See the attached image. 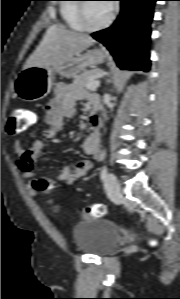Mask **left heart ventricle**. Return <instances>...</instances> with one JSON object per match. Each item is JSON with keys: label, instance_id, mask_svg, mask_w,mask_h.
I'll use <instances>...</instances> for the list:
<instances>
[{"label": "left heart ventricle", "instance_id": "1", "mask_svg": "<svg viewBox=\"0 0 180 299\" xmlns=\"http://www.w3.org/2000/svg\"><path fill=\"white\" fill-rule=\"evenodd\" d=\"M111 6L107 3H87L86 16L89 25L96 26L104 22L110 14Z\"/></svg>", "mask_w": 180, "mask_h": 299}]
</instances>
